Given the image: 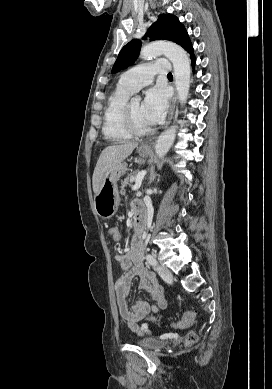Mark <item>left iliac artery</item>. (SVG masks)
<instances>
[{
    "label": "left iliac artery",
    "mask_w": 272,
    "mask_h": 389,
    "mask_svg": "<svg viewBox=\"0 0 272 389\" xmlns=\"http://www.w3.org/2000/svg\"><path fill=\"white\" fill-rule=\"evenodd\" d=\"M146 260L151 265L155 266L157 264V261H156L155 257L153 255H151V254H147L146 255Z\"/></svg>",
    "instance_id": "left-iliac-artery-1"
}]
</instances>
